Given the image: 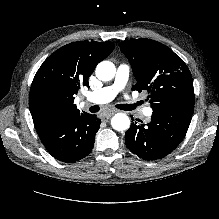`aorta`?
<instances>
[{
  "instance_id": "aorta-1",
  "label": "aorta",
  "mask_w": 219,
  "mask_h": 219,
  "mask_svg": "<svg viewBox=\"0 0 219 219\" xmlns=\"http://www.w3.org/2000/svg\"><path fill=\"white\" fill-rule=\"evenodd\" d=\"M96 76L101 81H110L116 73L115 65L110 61H101L95 70ZM111 126L116 131H126L130 127V119L124 113H117L111 119Z\"/></svg>"
}]
</instances>
